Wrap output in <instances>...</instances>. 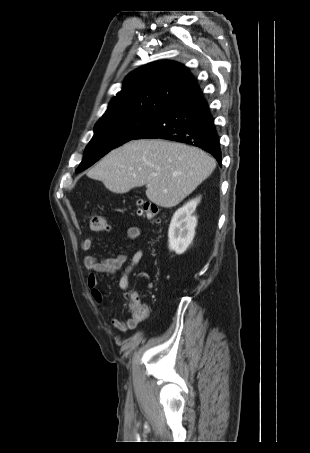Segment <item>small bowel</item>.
<instances>
[{"instance_id": "obj_1", "label": "small bowel", "mask_w": 310, "mask_h": 453, "mask_svg": "<svg viewBox=\"0 0 310 453\" xmlns=\"http://www.w3.org/2000/svg\"><path fill=\"white\" fill-rule=\"evenodd\" d=\"M126 235L129 240L136 241L141 237L142 231L137 226H131L127 229ZM94 242L95 237L85 238L81 241L80 247L83 250H89L92 248ZM143 254V250L141 248H137L128 262L125 254H119L110 258H99L96 255L86 256L83 259V263L85 268L89 271V275L87 277V287L90 291L92 299L98 304L103 301V294L98 287V274L113 276L122 271L118 283L120 289L127 292L129 290V276L133 269L141 261ZM133 295L134 294H132L131 297ZM143 319L144 318H137L131 314V316L126 320L113 318L111 323L118 331L126 332L128 330L135 329Z\"/></svg>"}]
</instances>
